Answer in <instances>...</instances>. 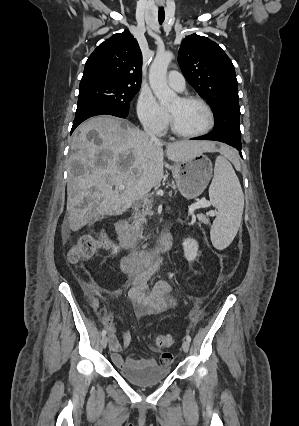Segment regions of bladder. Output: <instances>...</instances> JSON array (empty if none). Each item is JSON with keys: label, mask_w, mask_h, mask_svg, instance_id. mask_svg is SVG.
Here are the masks:
<instances>
[{"label": "bladder", "mask_w": 299, "mask_h": 426, "mask_svg": "<svg viewBox=\"0 0 299 426\" xmlns=\"http://www.w3.org/2000/svg\"><path fill=\"white\" fill-rule=\"evenodd\" d=\"M119 374L129 383L142 387H153L163 382L170 374V368L167 366H152L144 368L119 370Z\"/></svg>", "instance_id": "31cf9c89"}]
</instances>
